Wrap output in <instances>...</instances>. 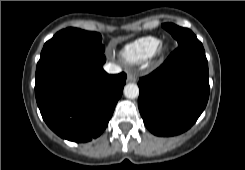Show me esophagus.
I'll use <instances>...</instances> for the list:
<instances>
[{"mask_svg":"<svg viewBox=\"0 0 245 170\" xmlns=\"http://www.w3.org/2000/svg\"><path fill=\"white\" fill-rule=\"evenodd\" d=\"M137 80L136 74L133 72H129L127 75V81L135 82Z\"/></svg>","mask_w":245,"mask_h":170,"instance_id":"esophagus-1","label":"esophagus"}]
</instances>
